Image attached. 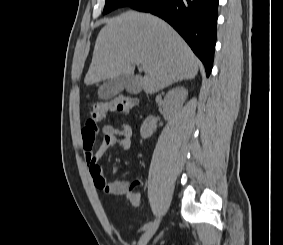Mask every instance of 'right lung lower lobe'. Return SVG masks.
Returning <instances> with one entry per match:
<instances>
[{"mask_svg":"<svg viewBox=\"0 0 283 245\" xmlns=\"http://www.w3.org/2000/svg\"><path fill=\"white\" fill-rule=\"evenodd\" d=\"M219 0H140L130 6L157 15L172 25L203 62L209 76L216 43Z\"/></svg>","mask_w":283,"mask_h":245,"instance_id":"right-lung-lower-lobe-1","label":"right lung lower lobe"}]
</instances>
